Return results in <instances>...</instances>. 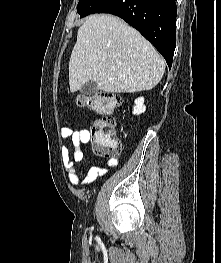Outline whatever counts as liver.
<instances>
[{
	"mask_svg": "<svg viewBox=\"0 0 221 263\" xmlns=\"http://www.w3.org/2000/svg\"><path fill=\"white\" fill-rule=\"evenodd\" d=\"M164 71L165 60L137 30L113 15H91L78 29L71 53L70 91L89 81L109 93L150 90Z\"/></svg>",
	"mask_w": 221,
	"mask_h": 263,
	"instance_id": "6515ba94",
	"label": "liver"
}]
</instances>
